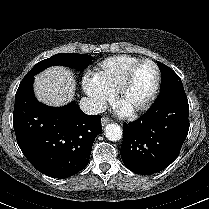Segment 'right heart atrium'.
Returning <instances> with one entry per match:
<instances>
[{
  "label": "right heart atrium",
  "mask_w": 209,
  "mask_h": 209,
  "mask_svg": "<svg viewBox=\"0 0 209 209\" xmlns=\"http://www.w3.org/2000/svg\"><path fill=\"white\" fill-rule=\"evenodd\" d=\"M83 89L84 92L91 99L94 106L101 110L109 102L112 101L113 96L104 90L93 78L86 77L83 80Z\"/></svg>",
  "instance_id": "d8ad5b80"
}]
</instances>
